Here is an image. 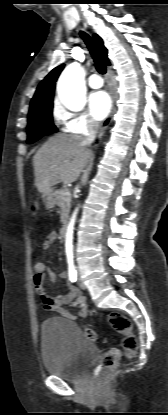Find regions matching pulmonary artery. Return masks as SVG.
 <instances>
[{"label":"pulmonary artery","mask_w":168,"mask_h":415,"mask_svg":"<svg viewBox=\"0 0 168 415\" xmlns=\"http://www.w3.org/2000/svg\"><path fill=\"white\" fill-rule=\"evenodd\" d=\"M88 84L93 89H98L103 86V80L98 74H92L88 79Z\"/></svg>","instance_id":"obj_1"}]
</instances>
